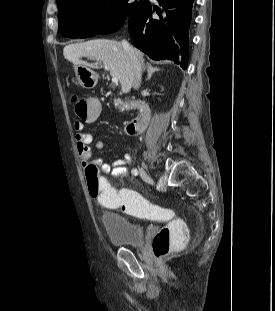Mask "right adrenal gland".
<instances>
[{
	"label": "right adrenal gland",
	"instance_id": "2a0ac1e0",
	"mask_svg": "<svg viewBox=\"0 0 275 311\" xmlns=\"http://www.w3.org/2000/svg\"><path fill=\"white\" fill-rule=\"evenodd\" d=\"M160 71V69L158 67H154L152 66L151 64L147 63V72H148V75H147V78H146V81H149L152 77V75L155 73V72H158Z\"/></svg>",
	"mask_w": 275,
	"mask_h": 311
}]
</instances>
